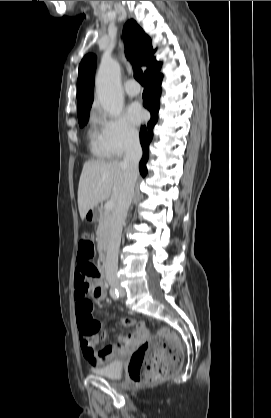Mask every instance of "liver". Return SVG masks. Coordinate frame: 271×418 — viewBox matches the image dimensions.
<instances>
[{
  "label": "liver",
  "mask_w": 271,
  "mask_h": 418,
  "mask_svg": "<svg viewBox=\"0 0 271 418\" xmlns=\"http://www.w3.org/2000/svg\"><path fill=\"white\" fill-rule=\"evenodd\" d=\"M125 180V167L121 161L89 160L84 163L78 186V208L85 219L89 209L109 198L117 202Z\"/></svg>",
  "instance_id": "6515ba94"
}]
</instances>
